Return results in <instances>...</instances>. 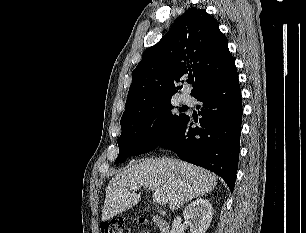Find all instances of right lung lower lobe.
Returning a JSON list of instances; mask_svg holds the SVG:
<instances>
[{
    "instance_id": "obj_1",
    "label": "right lung lower lobe",
    "mask_w": 306,
    "mask_h": 233,
    "mask_svg": "<svg viewBox=\"0 0 306 233\" xmlns=\"http://www.w3.org/2000/svg\"><path fill=\"white\" fill-rule=\"evenodd\" d=\"M198 126L186 116L178 130L158 147L172 150L187 162L221 176L232 192L238 167L242 120L241 90L237 70L204 91Z\"/></svg>"
}]
</instances>
